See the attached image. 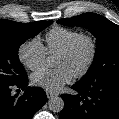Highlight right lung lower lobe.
<instances>
[{
  "label": "right lung lower lobe",
  "mask_w": 119,
  "mask_h": 119,
  "mask_svg": "<svg viewBox=\"0 0 119 119\" xmlns=\"http://www.w3.org/2000/svg\"><path fill=\"white\" fill-rule=\"evenodd\" d=\"M27 75L17 83L0 84V119H31L47 101L40 87H27ZM22 88L24 94L18 97L12 90Z\"/></svg>",
  "instance_id": "obj_1"
}]
</instances>
